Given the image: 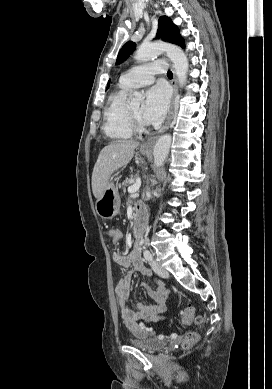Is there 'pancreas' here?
Wrapping results in <instances>:
<instances>
[{"label": "pancreas", "instance_id": "1", "mask_svg": "<svg viewBox=\"0 0 272 389\" xmlns=\"http://www.w3.org/2000/svg\"><path fill=\"white\" fill-rule=\"evenodd\" d=\"M135 182V177L133 175H130L129 177H127L123 182H122V189L125 191V187L128 185V184H131V183H134Z\"/></svg>", "mask_w": 272, "mask_h": 389}]
</instances>
